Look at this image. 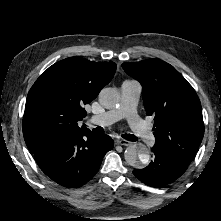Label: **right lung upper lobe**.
Returning <instances> with one entry per match:
<instances>
[{
  "label": "right lung upper lobe",
  "mask_w": 221,
  "mask_h": 221,
  "mask_svg": "<svg viewBox=\"0 0 221 221\" xmlns=\"http://www.w3.org/2000/svg\"><path fill=\"white\" fill-rule=\"evenodd\" d=\"M113 62L69 57L50 66L30 89L23 117V135L31 152L73 133L94 100L114 76Z\"/></svg>",
  "instance_id": "obj_1"
}]
</instances>
